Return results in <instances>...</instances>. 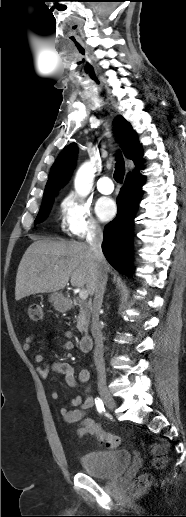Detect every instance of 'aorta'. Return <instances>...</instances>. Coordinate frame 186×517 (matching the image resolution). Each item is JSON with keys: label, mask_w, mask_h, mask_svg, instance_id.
<instances>
[{"label": "aorta", "mask_w": 186, "mask_h": 517, "mask_svg": "<svg viewBox=\"0 0 186 517\" xmlns=\"http://www.w3.org/2000/svg\"><path fill=\"white\" fill-rule=\"evenodd\" d=\"M95 169L91 162H85L76 173L74 180L75 190L78 195L85 197L91 191L94 180Z\"/></svg>", "instance_id": "aorta-1"}]
</instances>
